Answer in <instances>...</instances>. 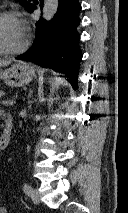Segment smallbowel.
<instances>
[{"mask_svg":"<svg viewBox=\"0 0 128 213\" xmlns=\"http://www.w3.org/2000/svg\"><path fill=\"white\" fill-rule=\"evenodd\" d=\"M0 213H7L6 209L3 207H0Z\"/></svg>","mask_w":128,"mask_h":213,"instance_id":"c3829d8e","label":"small bowel"}]
</instances>
